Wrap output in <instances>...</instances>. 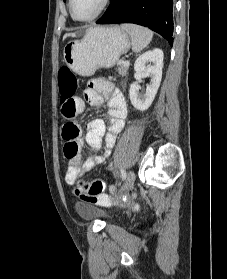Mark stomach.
Instances as JSON below:
<instances>
[{
	"instance_id": "obj_1",
	"label": "stomach",
	"mask_w": 227,
	"mask_h": 279,
	"mask_svg": "<svg viewBox=\"0 0 227 279\" xmlns=\"http://www.w3.org/2000/svg\"><path fill=\"white\" fill-rule=\"evenodd\" d=\"M81 32V39L70 40L63 48L64 62L81 76H91L99 68L113 67L130 49L129 36L120 27H90Z\"/></svg>"
}]
</instances>
